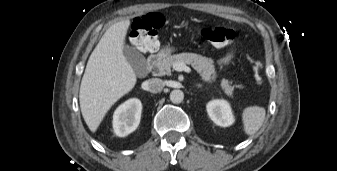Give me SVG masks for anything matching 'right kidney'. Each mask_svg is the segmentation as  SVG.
I'll list each match as a JSON object with an SVG mask.
<instances>
[{
    "mask_svg": "<svg viewBox=\"0 0 337 171\" xmlns=\"http://www.w3.org/2000/svg\"><path fill=\"white\" fill-rule=\"evenodd\" d=\"M142 104L139 99L132 98L121 104L113 115L114 133L125 137L136 130L140 123Z\"/></svg>",
    "mask_w": 337,
    "mask_h": 171,
    "instance_id": "1",
    "label": "right kidney"
}]
</instances>
